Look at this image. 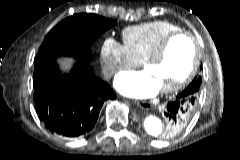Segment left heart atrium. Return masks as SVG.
Instances as JSON below:
<instances>
[{
	"label": "left heart atrium",
	"mask_w": 240,
	"mask_h": 160,
	"mask_svg": "<svg viewBox=\"0 0 240 160\" xmlns=\"http://www.w3.org/2000/svg\"><path fill=\"white\" fill-rule=\"evenodd\" d=\"M115 88L122 94L134 98H148L160 89L147 71L124 72L114 81Z\"/></svg>",
	"instance_id": "obj_1"
}]
</instances>
